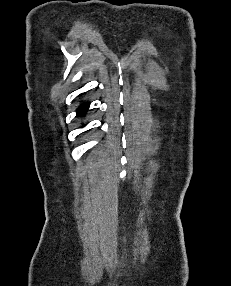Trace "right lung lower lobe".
<instances>
[{
  "label": "right lung lower lobe",
  "instance_id": "obj_1",
  "mask_svg": "<svg viewBox=\"0 0 231 286\" xmlns=\"http://www.w3.org/2000/svg\"><path fill=\"white\" fill-rule=\"evenodd\" d=\"M88 107H89V104L84 103L83 105H81L77 111V115L80 116V115L85 114Z\"/></svg>",
  "mask_w": 231,
  "mask_h": 286
}]
</instances>
